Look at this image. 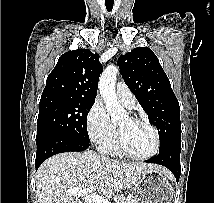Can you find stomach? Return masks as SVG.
I'll use <instances>...</instances> for the list:
<instances>
[{"mask_svg": "<svg viewBox=\"0 0 214 203\" xmlns=\"http://www.w3.org/2000/svg\"><path fill=\"white\" fill-rule=\"evenodd\" d=\"M137 203H172L174 190L163 170L144 169L134 187Z\"/></svg>", "mask_w": 214, "mask_h": 203, "instance_id": "obj_1", "label": "stomach"}]
</instances>
